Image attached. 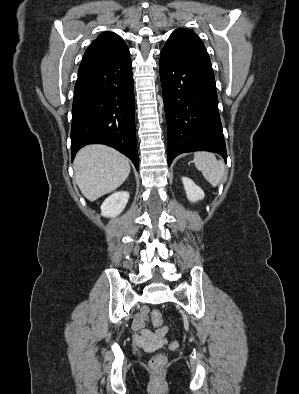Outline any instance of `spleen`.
<instances>
[{
	"mask_svg": "<svg viewBox=\"0 0 299 394\" xmlns=\"http://www.w3.org/2000/svg\"><path fill=\"white\" fill-rule=\"evenodd\" d=\"M194 163L196 168L202 172L204 178L213 187H216L220 183L225 174L224 162L218 161L211 152L200 151L195 153Z\"/></svg>",
	"mask_w": 299,
	"mask_h": 394,
	"instance_id": "3e777b00",
	"label": "spleen"
}]
</instances>
